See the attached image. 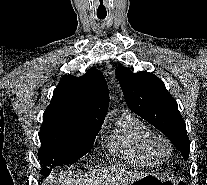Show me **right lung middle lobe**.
<instances>
[{"instance_id": "1", "label": "right lung middle lobe", "mask_w": 207, "mask_h": 185, "mask_svg": "<svg viewBox=\"0 0 207 185\" xmlns=\"http://www.w3.org/2000/svg\"><path fill=\"white\" fill-rule=\"evenodd\" d=\"M99 129L68 121L43 120L40 128L41 148L38 152L43 174L49 173L54 166L74 163L87 154L92 149Z\"/></svg>"}]
</instances>
